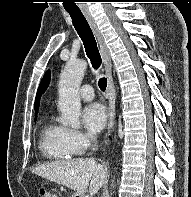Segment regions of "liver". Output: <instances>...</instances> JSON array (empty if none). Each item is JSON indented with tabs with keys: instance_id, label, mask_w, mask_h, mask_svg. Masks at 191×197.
I'll return each instance as SVG.
<instances>
[{
	"instance_id": "1",
	"label": "liver",
	"mask_w": 191,
	"mask_h": 197,
	"mask_svg": "<svg viewBox=\"0 0 191 197\" xmlns=\"http://www.w3.org/2000/svg\"><path fill=\"white\" fill-rule=\"evenodd\" d=\"M33 173L62 184L82 195L88 186L90 194H96L107 177L106 167L98 164L94 158L51 162L36 167Z\"/></svg>"
}]
</instances>
